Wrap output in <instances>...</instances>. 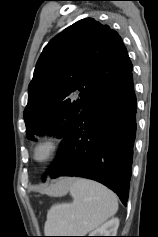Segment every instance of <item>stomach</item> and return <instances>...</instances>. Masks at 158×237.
Instances as JSON below:
<instances>
[{"label": "stomach", "mask_w": 158, "mask_h": 237, "mask_svg": "<svg viewBox=\"0 0 158 237\" xmlns=\"http://www.w3.org/2000/svg\"><path fill=\"white\" fill-rule=\"evenodd\" d=\"M65 179H69V178H64V179H61V180H65ZM60 180V181H61ZM71 184H65L63 185L61 188H59L56 192V194H65L67 193V191L69 190V187H70Z\"/></svg>", "instance_id": "0dacf381"}]
</instances>
